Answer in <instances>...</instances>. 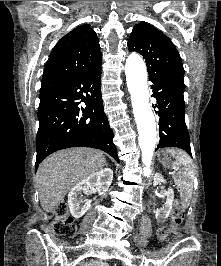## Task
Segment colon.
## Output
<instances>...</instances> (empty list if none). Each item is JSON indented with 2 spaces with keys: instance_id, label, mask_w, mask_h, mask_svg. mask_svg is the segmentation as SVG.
Listing matches in <instances>:
<instances>
[{
  "instance_id": "1",
  "label": "colon",
  "mask_w": 221,
  "mask_h": 266,
  "mask_svg": "<svg viewBox=\"0 0 221 266\" xmlns=\"http://www.w3.org/2000/svg\"><path fill=\"white\" fill-rule=\"evenodd\" d=\"M184 219V210L180 206H176L171 214L169 225L162 226L158 229L157 235L161 240L167 238L171 232H175L176 228L181 225ZM75 224L68 212V205L65 201L60 202L55 210V218L52 223V231L59 236L72 235L75 232Z\"/></svg>"
}]
</instances>
